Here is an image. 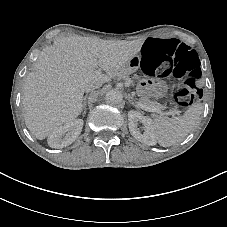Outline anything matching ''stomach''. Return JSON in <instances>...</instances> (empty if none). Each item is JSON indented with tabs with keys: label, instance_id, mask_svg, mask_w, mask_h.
Segmentation results:
<instances>
[{
	"label": "stomach",
	"instance_id": "obj_1",
	"mask_svg": "<svg viewBox=\"0 0 227 227\" xmlns=\"http://www.w3.org/2000/svg\"><path fill=\"white\" fill-rule=\"evenodd\" d=\"M154 78L147 77L139 80L137 84V94L141 97H150L152 95V81ZM151 82V83H150Z\"/></svg>",
	"mask_w": 227,
	"mask_h": 227
}]
</instances>
